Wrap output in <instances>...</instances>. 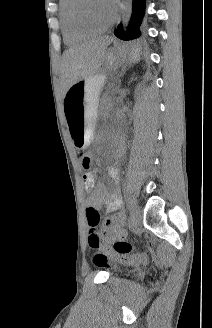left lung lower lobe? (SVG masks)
Listing matches in <instances>:
<instances>
[{"label":"left lung lower lobe","mask_w":212,"mask_h":328,"mask_svg":"<svg viewBox=\"0 0 212 328\" xmlns=\"http://www.w3.org/2000/svg\"><path fill=\"white\" fill-rule=\"evenodd\" d=\"M145 0H133V13L127 31H123L121 24L115 31V35L123 40L138 38L141 33L139 26L144 16Z\"/></svg>","instance_id":"obj_1"}]
</instances>
